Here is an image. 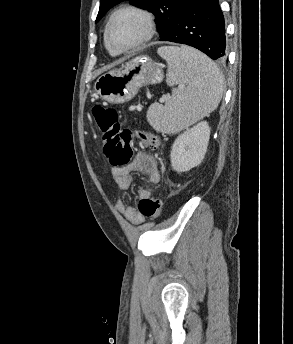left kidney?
Here are the masks:
<instances>
[{
  "label": "left kidney",
  "mask_w": 293,
  "mask_h": 344,
  "mask_svg": "<svg viewBox=\"0 0 293 344\" xmlns=\"http://www.w3.org/2000/svg\"><path fill=\"white\" fill-rule=\"evenodd\" d=\"M210 127L201 121L180 134L170 153L171 166L177 172H187L201 164L207 151Z\"/></svg>",
  "instance_id": "left-kidney-1"
}]
</instances>
